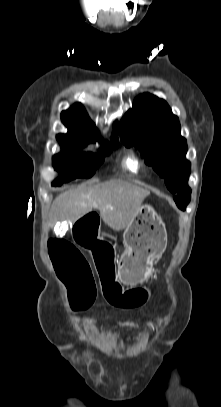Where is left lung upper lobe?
Returning <instances> with one entry per match:
<instances>
[{
	"label": "left lung upper lobe",
	"instance_id": "left-lung-upper-lobe-1",
	"mask_svg": "<svg viewBox=\"0 0 221 407\" xmlns=\"http://www.w3.org/2000/svg\"><path fill=\"white\" fill-rule=\"evenodd\" d=\"M178 117L163 99L145 93L138 96L120 122V138L130 147L141 150L146 163L165 179L167 188L176 196L190 195L188 187L190 162L185 159L186 139L180 134Z\"/></svg>",
	"mask_w": 221,
	"mask_h": 407
}]
</instances>
